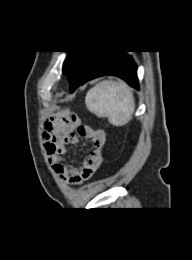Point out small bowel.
I'll return each instance as SVG.
<instances>
[{
	"instance_id": "c3829d8e",
	"label": "small bowel",
	"mask_w": 192,
	"mask_h": 260,
	"mask_svg": "<svg viewBox=\"0 0 192 260\" xmlns=\"http://www.w3.org/2000/svg\"><path fill=\"white\" fill-rule=\"evenodd\" d=\"M43 137L45 151L53 170L68 185L79 186L97 171L102 160V148L105 134L81 122L73 113H63L46 122ZM79 137L90 139L93 149L79 166H72L64 161L67 144H75Z\"/></svg>"
}]
</instances>
